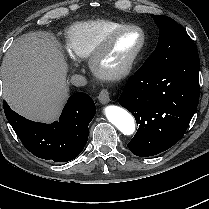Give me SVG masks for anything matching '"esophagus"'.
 <instances>
[{"label": "esophagus", "mask_w": 209, "mask_h": 209, "mask_svg": "<svg viewBox=\"0 0 209 209\" xmlns=\"http://www.w3.org/2000/svg\"><path fill=\"white\" fill-rule=\"evenodd\" d=\"M98 100L101 104H106L110 101V93L107 89H102L98 95Z\"/></svg>", "instance_id": "1"}]
</instances>
